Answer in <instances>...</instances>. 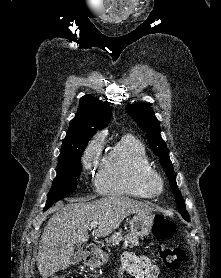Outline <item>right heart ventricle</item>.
I'll return each mask as SVG.
<instances>
[{
    "label": "right heart ventricle",
    "mask_w": 221,
    "mask_h": 278,
    "mask_svg": "<svg viewBox=\"0 0 221 278\" xmlns=\"http://www.w3.org/2000/svg\"><path fill=\"white\" fill-rule=\"evenodd\" d=\"M152 168L145 145L126 135L102 157L95 175V186L103 195L150 197L141 184V173Z\"/></svg>",
    "instance_id": "1"
}]
</instances>
